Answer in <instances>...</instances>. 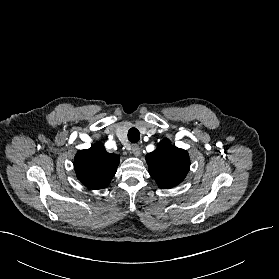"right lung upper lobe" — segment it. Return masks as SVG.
<instances>
[{
  "instance_id": "right-lung-upper-lobe-1",
  "label": "right lung upper lobe",
  "mask_w": 279,
  "mask_h": 279,
  "mask_svg": "<svg viewBox=\"0 0 279 279\" xmlns=\"http://www.w3.org/2000/svg\"><path fill=\"white\" fill-rule=\"evenodd\" d=\"M120 158L106 152L101 143L80 150L75 156L77 178L88 188L97 190L107 187L117 171Z\"/></svg>"
}]
</instances>
